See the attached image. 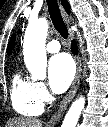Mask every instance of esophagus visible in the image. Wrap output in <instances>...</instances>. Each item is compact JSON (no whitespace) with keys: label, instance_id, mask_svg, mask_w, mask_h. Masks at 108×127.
Returning <instances> with one entry per match:
<instances>
[{"label":"esophagus","instance_id":"esophagus-1","mask_svg":"<svg viewBox=\"0 0 108 127\" xmlns=\"http://www.w3.org/2000/svg\"><path fill=\"white\" fill-rule=\"evenodd\" d=\"M60 8H61V13H62L63 19L69 28V36L71 39H73L74 34H73L72 30L70 29L67 13L65 12V10L62 6H60ZM76 64H77V72H76L74 81H73L72 86H71L69 92L67 93L66 97L61 102L58 112L50 119L49 123L52 125L56 124L59 121V119L62 115V112L66 109L67 105L73 99V97L75 96V94L79 88L81 73H82V63H81V59L78 56L76 57Z\"/></svg>","mask_w":108,"mask_h":127}]
</instances>
